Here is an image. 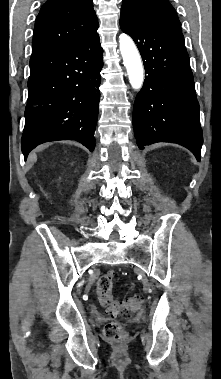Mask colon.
<instances>
[{
  "instance_id": "5ec220e1",
  "label": "colon",
  "mask_w": 221,
  "mask_h": 379,
  "mask_svg": "<svg viewBox=\"0 0 221 379\" xmlns=\"http://www.w3.org/2000/svg\"><path fill=\"white\" fill-rule=\"evenodd\" d=\"M112 288V273L102 275L97 282L98 298L100 304L106 307L112 315L129 316L138 309L142 301L141 296L134 295L122 300H115L111 295ZM104 335L110 341H120L125 339L127 334L120 323L112 321L105 325Z\"/></svg>"
}]
</instances>
